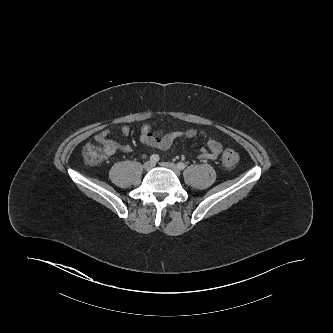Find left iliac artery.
<instances>
[{"label":"left iliac artery","mask_w":333,"mask_h":333,"mask_svg":"<svg viewBox=\"0 0 333 333\" xmlns=\"http://www.w3.org/2000/svg\"><path fill=\"white\" fill-rule=\"evenodd\" d=\"M177 167L179 168V170H183V169H185L186 165L183 162H179L177 164Z\"/></svg>","instance_id":"1"}]
</instances>
